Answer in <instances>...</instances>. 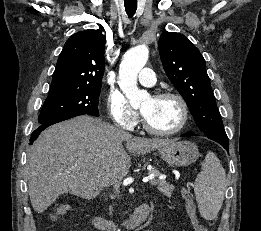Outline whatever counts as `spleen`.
Segmentation results:
<instances>
[{"label":"spleen","instance_id":"1","mask_svg":"<svg viewBox=\"0 0 261 231\" xmlns=\"http://www.w3.org/2000/svg\"><path fill=\"white\" fill-rule=\"evenodd\" d=\"M225 190V170L218 157L213 152H208L194 186L198 209L204 219L216 218L224 200Z\"/></svg>","mask_w":261,"mask_h":231}]
</instances>
